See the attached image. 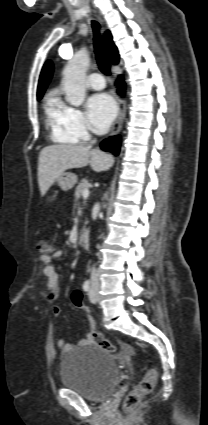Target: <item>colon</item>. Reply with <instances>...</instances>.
I'll list each match as a JSON object with an SVG mask.
<instances>
[{"label": "colon", "mask_w": 208, "mask_h": 425, "mask_svg": "<svg viewBox=\"0 0 208 425\" xmlns=\"http://www.w3.org/2000/svg\"><path fill=\"white\" fill-rule=\"evenodd\" d=\"M37 249L42 255H50L54 252L53 246L45 240H41L37 244ZM71 301L74 307L78 309L83 308V295L79 290H75L71 294ZM89 336L91 341L100 347L101 349L109 352L115 353L117 347L113 341L105 337L100 333L93 321L89 319ZM158 376V371L155 366L148 368L144 374L142 380L138 383L133 390H131L123 401V408L125 411L132 410L139 403L140 399L147 393L151 392L155 386Z\"/></svg>", "instance_id": "5ec220e1"}]
</instances>
